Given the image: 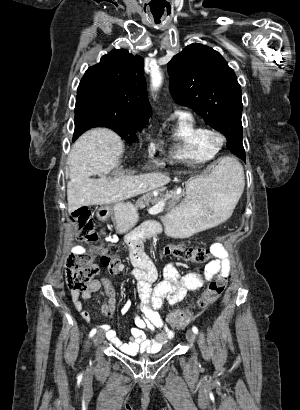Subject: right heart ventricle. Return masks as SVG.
Instances as JSON below:
<instances>
[{
  "mask_svg": "<svg viewBox=\"0 0 300 410\" xmlns=\"http://www.w3.org/2000/svg\"><path fill=\"white\" fill-rule=\"evenodd\" d=\"M208 128L199 124L195 118L185 112L178 114L171 132V158L179 162L199 163L213 159L218 150L208 145Z\"/></svg>",
  "mask_w": 300,
  "mask_h": 410,
  "instance_id": "e07e8e85",
  "label": "right heart ventricle"
}]
</instances>
